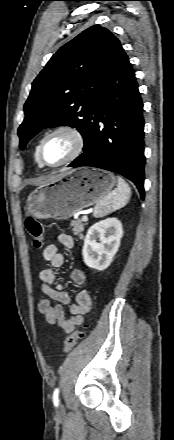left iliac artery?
<instances>
[{"label":"left iliac artery","mask_w":174,"mask_h":440,"mask_svg":"<svg viewBox=\"0 0 174 440\" xmlns=\"http://www.w3.org/2000/svg\"><path fill=\"white\" fill-rule=\"evenodd\" d=\"M58 395H59V389L56 388L53 393V403L55 406H58V404H59Z\"/></svg>","instance_id":"left-iliac-artery-1"}]
</instances>
